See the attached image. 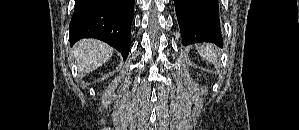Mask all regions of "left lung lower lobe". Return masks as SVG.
Masks as SVG:
<instances>
[{"label": "left lung lower lobe", "mask_w": 299, "mask_h": 130, "mask_svg": "<svg viewBox=\"0 0 299 130\" xmlns=\"http://www.w3.org/2000/svg\"><path fill=\"white\" fill-rule=\"evenodd\" d=\"M182 43L211 42L222 46L218 0H174Z\"/></svg>", "instance_id": "1"}]
</instances>
